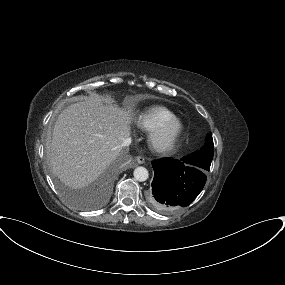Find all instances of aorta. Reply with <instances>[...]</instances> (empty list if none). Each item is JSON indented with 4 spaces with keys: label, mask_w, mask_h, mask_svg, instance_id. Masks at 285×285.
I'll return each instance as SVG.
<instances>
[{
    "label": "aorta",
    "mask_w": 285,
    "mask_h": 285,
    "mask_svg": "<svg viewBox=\"0 0 285 285\" xmlns=\"http://www.w3.org/2000/svg\"><path fill=\"white\" fill-rule=\"evenodd\" d=\"M133 175L137 181L143 182L148 179L149 173L145 167L139 166L135 168Z\"/></svg>",
    "instance_id": "1"
}]
</instances>
